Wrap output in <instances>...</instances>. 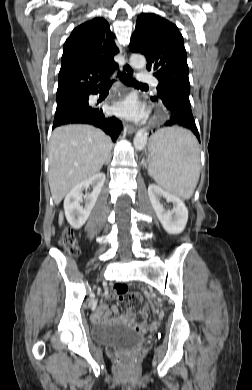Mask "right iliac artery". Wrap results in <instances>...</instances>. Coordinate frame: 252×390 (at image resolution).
Wrapping results in <instances>:
<instances>
[{
    "label": "right iliac artery",
    "instance_id": "1",
    "mask_svg": "<svg viewBox=\"0 0 252 390\" xmlns=\"http://www.w3.org/2000/svg\"><path fill=\"white\" fill-rule=\"evenodd\" d=\"M100 303V300L98 299V298H95L94 300H93V304H92V310H93V312H96V310H97V305Z\"/></svg>",
    "mask_w": 252,
    "mask_h": 390
}]
</instances>
